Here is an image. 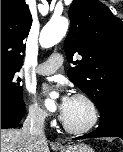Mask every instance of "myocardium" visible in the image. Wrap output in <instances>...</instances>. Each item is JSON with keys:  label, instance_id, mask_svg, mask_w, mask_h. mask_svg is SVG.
I'll use <instances>...</instances> for the list:
<instances>
[{"label": "myocardium", "instance_id": "obj_1", "mask_svg": "<svg viewBox=\"0 0 123 152\" xmlns=\"http://www.w3.org/2000/svg\"><path fill=\"white\" fill-rule=\"evenodd\" d=\"M72 98L81 100L87 104L91 112V118L89 122L83 127H79V128L72 127L68 125L64 120H62V126L65 129V131H67L70 134H74V135L87 134L90 131H92L99 122V118H100L99 108L95 103V101L84 93H76L72 96Z\"/></svg>", "mask_w": 123, "mask_h": 152}]
</instances>
